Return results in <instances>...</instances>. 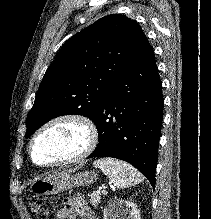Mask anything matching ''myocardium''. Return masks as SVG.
I'll return each instance as SVG.
<instances>
[{"instance_id":"f54148a6","label":"myocardium","mask_w":211,"mask_h":219,"mask_svg":"<svg viewBox=\"0 0 211 219\" xmlns=\"http://www.w3.org/2000/svg\"><path fill=\"white\" fill-rule=\"evenodd\" d=\"M67 121L77 123L84 129L86 133V141L83 148L71 158L58 162L49 163V164L38 163L33 156V145L37 140V138L48 127L60 122H67ZM98 139H99L98 129L95 123L89 117L80 113H63L48 119L36 129V131L33 133L28 143V154L32 163L38 167L58 168V167L71 166L85 160L95 150L98 144Z\"/></svg>"}]
</instances>
